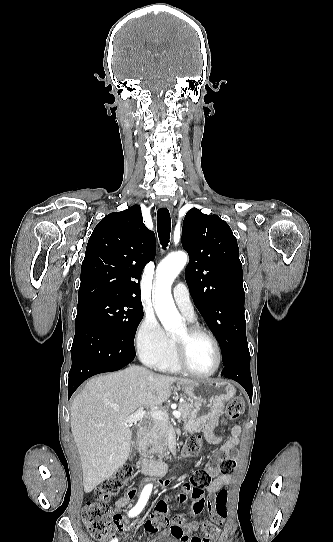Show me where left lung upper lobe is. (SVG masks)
I'll return each mask as SVG.
<instances>
[{
    "label": "left lung upper lobe",
    "mask_w": 333,
    "mask_h": 542,
    "mask_svg": "<svg viewBox=\"0 0 333 542\" xmlns=\"http://www.w3.org/2000/svg\"><path fill=\"white\" fill-rule=\"evenodd\" d=\"M182 246L190 258L185 270L190 294L219 342L225 365L248 345L237 240L217 215L192 208L183 221Z\"/></svg>",
    "instance_id": "left-lung-upper-lobe-1"
}]
</instances>
